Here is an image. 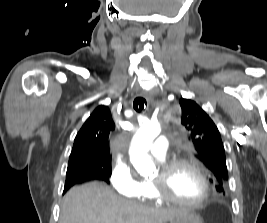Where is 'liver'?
Wrapping results in <instances>:
<instances>
[{"instance_id": "1", "label": "liver", "mask_w": 267, "mask_h": 223, "mask_svg": "<svg viewBox=\"0 0 267 223\" xmlns=\"http://www.w3.org/2000/svg\"><path fill=\"white\" fill-rule=\"evenodd\" d=\"M183 211L126 200L104 183L90 182L64 196L60 223H166Z\"/></svg>"}]
</instances>
